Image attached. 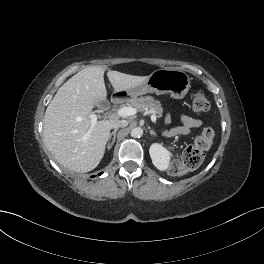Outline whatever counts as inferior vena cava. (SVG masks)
Returning a JSON list of instances; mask_svg holds the SVG:
<instances>
[{"instance_id":"1","label":"inferior vena cava","mask_w":264,"mask_h":264,"mask_svg":"<svg viewBox=\"0 0 264 264\" xmlns=\"http://www.w3.org/2000/svg\"><path fill=\"white\" fill-rule=\"evenodd\" d=\"M128 125V122L125 120H118L112 124V128L118 129L119 127L124 128Z\"/></svg>"}]
</instances>
